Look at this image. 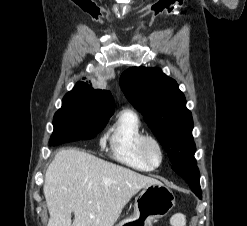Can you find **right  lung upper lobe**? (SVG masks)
I'll use <instances>...</instances> for the list:
<instances>
[{
  "instance_id": "cb5924a9",
  "label": "right lung upper lobe",
  "mask_w": 247,
  "mask_h": 226,
  "mask_svg": "<svg viewBox=\"0 0 247 226\" xmlns=\"http://www.w3.org/2000/svg\"><path fill=\"white\" fill-rule=\"evenodd\" d=\"M70 92L82 94L98 101L102 106V112L105 114L112 115L114 112L115 103L111 92L108 90L94 89L91 85L85 82H78Z\"/></svg>"
}]
</instances>
